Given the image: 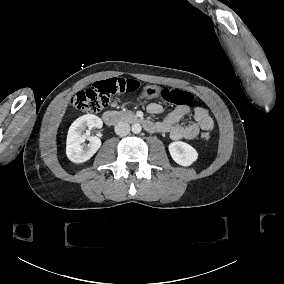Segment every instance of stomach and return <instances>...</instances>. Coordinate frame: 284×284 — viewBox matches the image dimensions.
I'll return each mask as SVG.
<instances>
[{"label": "stomach", "instance_id": "obj_1", "mask_svg": "<svg viewBox=\"0 0 284 284\" xmlns=\"http://www.w3.org/2000/svg\"><path fill=\"white\" fill-rule=\"evenodd\" d=\"M160 94V88L155 85H150L144 87V91L142 93V97L152 99L158 97Z\"/></svg>", "mask_w": 284, "mask_h": 284}]
</instances>
